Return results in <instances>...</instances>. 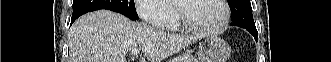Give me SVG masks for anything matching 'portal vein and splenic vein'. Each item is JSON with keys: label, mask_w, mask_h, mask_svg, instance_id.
I'll list each match as a JSON object with an SVG mask.
<instances>
[{"label": "portal vein and splenic vein", "mask_w": 331, "mask_h": 62, "mask_svg": "<svg viewBox=\"0 0 331 62\" xmlns=\"http://www.w3.org/2000/svg\"><path fill=\"white\" fill-rule=\"evenodd\" d=\"M130 51H131V54H132V55H138L139 52H140V49H138V48H133V49H131ZM177 60L180 61L179 59H177Z\"/></svg>", "instance_id": "1"}]
</instances>
